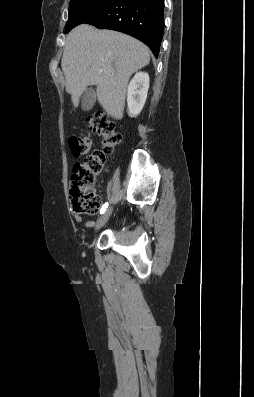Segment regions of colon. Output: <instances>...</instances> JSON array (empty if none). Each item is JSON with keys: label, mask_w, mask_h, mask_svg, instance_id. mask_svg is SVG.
Listing matches in <instances>:
<instances>
[{"label": "colon", "mask_w": 254, "mask_h": 397, "mask_svg": "<svg viewBox=\"0 0 254 397\" xmlns=\"http://www.w3.org/2000/svg\"><path fill=\"white\" fill-rule=\"evenodd\" d=\"M91 135L102 137V150L88 154L91 148ZM121 141L115 123L105 114L97 113L88 120V132L69 138L73 156L82 161L75 164L70 177V197L73 208L80 214H95L101 204L99 195L93 190L97 176L102 172L107 155L111 154Z\"/></svg>", "instance_id": "5ec220e1"}]
</instances>
